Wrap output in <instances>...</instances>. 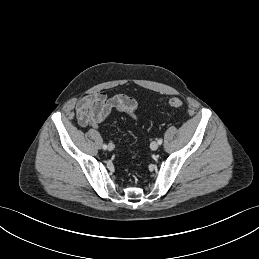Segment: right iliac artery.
Masks as SVG:
<instances>
[{
  "instance_id": "82829eb1",
  "label": "right iliac artery",
  "mask_w": 259,
  "mask_h": 259,
  "mask_svg": "<svg viewBox=\"0 0 259 259\" xmlns=\"http://www.w3.org/2000/svg\"><path fill=\"white\" fill-rule=\"evenodd\" d=\"M103 149L106 150L107 149V145L106 144H103Z\"/></svg>"
}]
</instances>
